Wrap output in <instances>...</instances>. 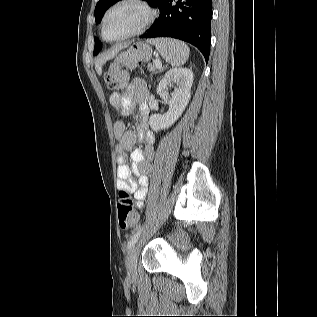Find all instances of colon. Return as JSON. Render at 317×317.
I'll list each match as a JSON object with an SVG mask.
<instances>
[{
	"instance_id": "colon-1",
	"label": "colon",
	"mask_w": 317,
	"mask_h": 317,
	"mask_svg": "<svg viewBox=\"0 0 317 317\" xmlns=\"http://www.w3.org/2000/svg\"><path fill=\"white\" fill-rule=\"evenodd\" d=\"M126 64L124 58H117L109 66L105 74V82L109 89L122 90L125 87L128 81V73L125 69ZM117 209L119 225L122 229H132L138 225V214L127 192L121 191Z\"/></svg>"
}]
</instances>
